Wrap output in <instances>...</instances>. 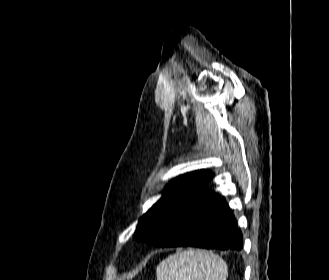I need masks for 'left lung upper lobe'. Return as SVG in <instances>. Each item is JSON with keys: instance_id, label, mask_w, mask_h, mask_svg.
Returning a JSON list of instances; mask_svg holds the SVG:
<instances>
[{"instance_id": "obj_1", "label": "left lung upper lobe", "mask_w": 329, "mask_h": 280, "mask_svg": "<svg viewBox=\"0 0 329 280\" xmlns=\"http://www.w3.org/2000/svg\"><path fill=\"white\" fill-rule=\"evenodd\" d=\"M213 177L210 171L201 170L179 176L166 186L162 198L139 220L134 239L159 247H165L169 236L161 234L164 225L172 220V210L181 203L200 196L199 186Z\"/></svg>"}]
</instances>
